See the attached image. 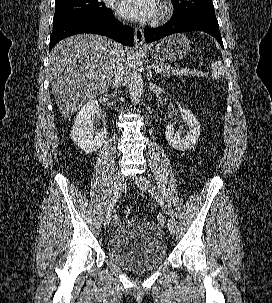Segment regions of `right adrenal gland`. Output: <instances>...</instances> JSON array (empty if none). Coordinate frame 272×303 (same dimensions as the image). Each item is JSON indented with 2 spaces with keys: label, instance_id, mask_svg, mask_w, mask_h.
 <instances>
[{
  "label": "right adrenal gland",
  "instance_id": "1",
  "mask_svg": "<svg viewBox=\"0 0 272 303\" xmlns=\"http://www.w3.org/2000/svg\"><path fill=\"white\" fill-rule=\"evenodd\" d=\"M110 87H114V83H111V84H110Z\"/></svg>",
  "mask_w": 272,
  "mask_h": 303
}]
</instances>
